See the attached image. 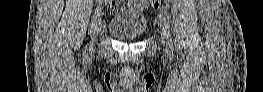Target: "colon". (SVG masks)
Wrapping results in <instances>:
<instances>
[{
    "label": "colon",
    "mask_w": 263,
    "mask_h": 92,
    "mask_svg": "<svg viewBox=\"0 0 263 92\" xmlns=\"http://www.w3.org/2000/svg\"><path fill=\"white\" fill-rule=\"evenodd\" d=\"M152 2H154L155 4H157V3L159 4L160 2H168V1H152ZM155 8L158 9L159 6H155ZM109 10L111 12H114V11H116V8L115 7H111Z\"/></svg>",
    "instance_id": "5ec220e1"
}]
</instances>
